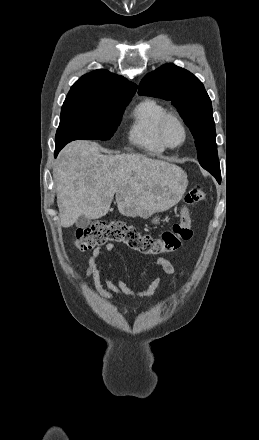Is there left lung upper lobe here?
I'll return each mask as SVG.
<instances>
[{
    "mask_svg": "<svg viewBox=\"0 0 259 440\" xmlns=\"http://www.w3.org/2000/svg\"><path fill=\"white\" fill-rule=\"evenodd\" d=\"M138 93L171 101L192 132L201 166L219 181L212 105L201 81L183 68L166 64L142 79Z\"/></svg>",
    "mask_w": 259,
    "mask_h": 440,
    "instance_id": "1",
    "label": "left lung upper lobe"
}]
</instances>
